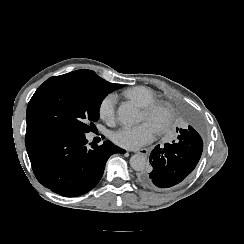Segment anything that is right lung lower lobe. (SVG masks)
I'll return each instance as SVG.
<instances>
[{
	"label": "right lung lower lobe",
	"mask_w": 244,
	"mask_h": 244,
	"mask_svg": "<svg viewBox=\"0 0 244 244\" xmlns=\"http://www.w3.org/2000/svg\"><path fill=\"white\" fill-rule=\"evenodd\" d=\"M25 144L38 181L65 197L91 190L101 179L108 158L126 152L109 141L90 148L85 134L43 127L27 128Z\"/></svg>",
	"instance_id": "98d812e1"
}]
</instances>
